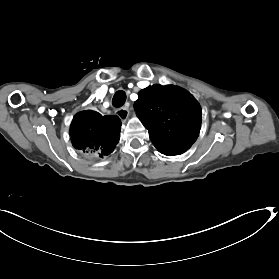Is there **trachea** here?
I'll list each match as a JSON object with an SVG mask.
<instances>
[{"mask_svg": "<svg viewBox=\"0 0 279 279\" xmlns=\"http://www.w3.org/2000/svg\"><path fill=\"white\" fill-rule=\"evenodd\" d=\"M126 98V93L123 90H119L113 96L112 105L114 107H121L126 102Z\"/></svg>", "mask_w": 279, "mask_h": 279, "instance_id": "3493384b", "label": "trachea"}]
</instances>
